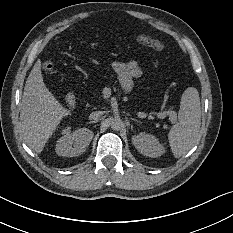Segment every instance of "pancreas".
I'll use <instances>...</instances> for the list:
<instances>
[{
	"label": "pancreas",
	"mask_w": 233,
	"mask_h": 233,
	"mask_svg": "<svg viewBox=\"0 0 233 233\" xmlns=\"http://www.w3.org/2000/svg\"><path fill=\"white\" fill-rule=\"evenodd\" d=\"M165 114H169L171 116V118H176L177 117V114H176L175 111L159 112V113H157V116L159 118H164Z\"/></svg>",
	"instance_id": "cf45deb5"
}]
</instances>
